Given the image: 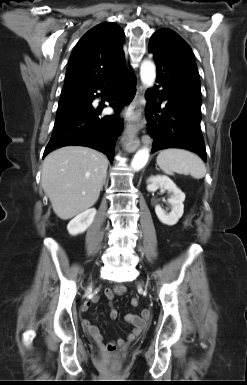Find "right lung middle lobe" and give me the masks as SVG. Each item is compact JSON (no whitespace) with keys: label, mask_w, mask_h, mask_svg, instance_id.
<instances>
[{"label":"right lung middle lobe","mask_w":247,"mask_h":385,"mask_svg":"<svg viewBox=\"0 0 247 385\" xmlns=\"http://www.w3.org/2000/svg\"><path fill=\"white\" fill-rule=\"evenodd\" d=\"M87 93L88 91H81V90H70V91L62 92L59 99L58 108L63 107L81 97L86 96Z\"/></svg>","instance_id":"1"}]
</instances>
